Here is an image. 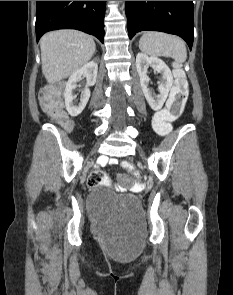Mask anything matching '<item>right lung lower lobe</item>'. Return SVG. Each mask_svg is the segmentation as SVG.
I'll return each instance as SVG.
<instances>
[{
    "instance_id": "98d812e1",
    "label": "right lung lower lobe",
    "mask_w": 233,
    "mask_h": 295,
    "mask_svg": "<svg viewBox=\"0 0 233 295\" xmlns=\"http://www.w3.org/2000/svg\"><path fill=\"white\" fill-rule=\"evenodd\" d=\"M106 1H37L36 38L48 31L72 28L104 42Z\"/></svg>"
}]
</instances>
